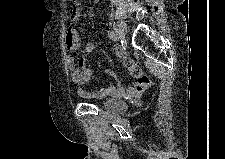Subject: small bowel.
<instances>
[{
  "label": "small bowel",
  "mask_w": 225,
  "mask_h": 159,
  "mask_svg": "<svg viewBox=\"0 0 225 159\" xmlns=\"http://www.w3.org/2000/svg\"><path fill=\"white\" fill-rule=\"evenodd\" d=\"M81 16V6L79 2H76L70 9V19L73 24H76ZM65 43L67 48L70 51V72L72 80L75 84L82 86L91 80L93 77L94 71L92 68L87 66V57L88 55L94 53L97 49L96 44L93 42H87L81 52V56L77 61L74 60V57L78 54V51L81 46L80 36L78 30L75 27H71L67 30L65 35ZM115 53L121 58L123 63L134 69V64L127 57L125 51L116 46L114 48ZM110 75H113L112 72H109ZM149 85V80L146 77L138 78V81L135 85L126 88L125 90L120 86H109V87H100L94 90L92 93H87L83 89L78 91L79 95L82 97L87 96H96V97H107V96H120L123 93L129 95L140 94Z\"/></svg>",
  "instance_id": "1"
}]
</instances>
